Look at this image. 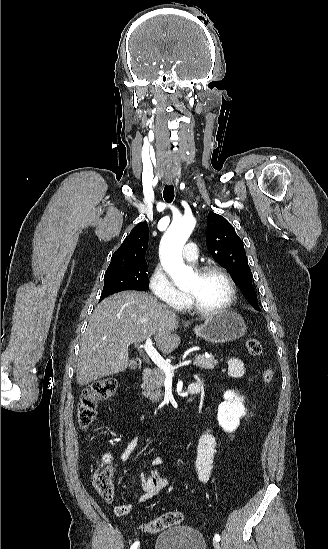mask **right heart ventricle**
<instances>
[{
  "instance_id": "right-heart-ventricle-1",
  "label": "right heart ventricle",
  "mask_w": 328,
  "mask_h": 549,
  "mask_svg": "<svg viewBox=\"0 0 328 549\" xmlns=\"http://www.w3.org/2000/svg\"><path fill=\"white\" fill-rule=\"evenodd\" d=\"M173 303H179L180 309L187 307V300L182 290H179V296Z\"/></svg>"
}]
</instances>
